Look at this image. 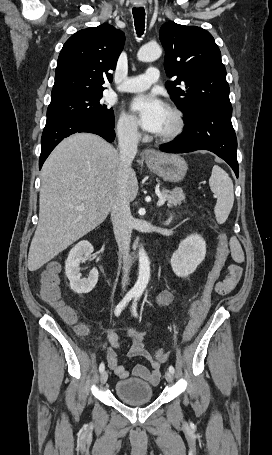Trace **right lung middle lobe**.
I'll return each instance as SVG.
<instances>
[{"instance_id": "dd1d6c3e", "label": "right lung middle lobe", "mask_w": 272, "mask_h": 455, "mask_svg": "<svg viewBox=\"0 0 272 455\" xmlns=\"http://www.w3.org/2000/svg\"><path fill=\"white\" fill-rule=\"evenodd\" d=\"M102 95L71 96L51 101L47 109L46 122L71 117H90L106 123H114L113 109L107 108L100 101Z\"/></svg>"}]
</instances>
